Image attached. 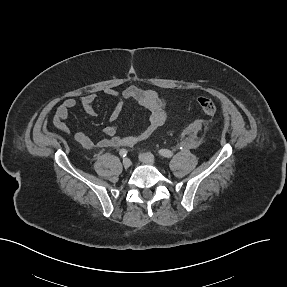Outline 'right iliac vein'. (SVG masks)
I'll return each instance as SVG.
<instances>
[{"instance_id":"1","label":"right iliac vein","mask_w":287,"mask_h":287,"mask_svg":"<svg viewBox=\"0 0 287 287\" xmlns=\"http://www.w3.org/2000/svg\"><path fill=\"white\" fill-rule=\"evenodd\" d=\"M122 164L125 168H129L132 165V162L129 158H124Z\"/></svg>"}]
</instances>
